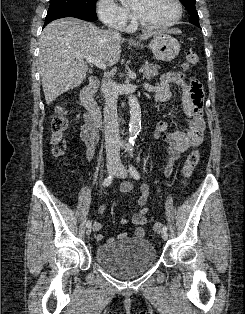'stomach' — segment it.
Masks as SVG:
<instances>
[{"mask_svg": "<svg viewBox=\"0 0 245 314\" xmlns=\"http://www.w3.org/2000/svg\"><path fill=\"white\" fill-rule=\"evenodd\" d=\"M134 46L138 47V44ZM143 47V45H139ZM149 49L152 51L154 56L158 60L171 61L177 57L180 51L179 42L168 34H159L153 36V39L148 45Z\"/></svg>", "mask_w": 245, "mask_h": 314, "instance_id": "1", "label": "stomach"}]
</instances>
